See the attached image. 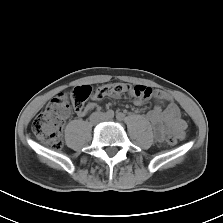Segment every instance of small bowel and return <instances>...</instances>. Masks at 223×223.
Masks as SVG:
<instances>
[{
	"label": "small bowel",
	"instance_id": "obj_1",
	"mask_svg": "<svg viewBox=\"0 0 223 223\" xmlns=\"http://www.w3.org/2000/svg\"><path fill=\"white\" fill-rule=\"evenodd\" d=\"M163 100L159 99L155 107L147 113V120L153 126L155 136L158 139H162L167 131H174L180 138L184 136L186 124L181 118L180 111L178 107L171 101L165 108H162L160 102ZM135 105H142V101L136 99L134 101ZM96 107L94 103H89L85 108L78 112V115L83 117L89 111Z\"/></svg>",
	"mask_w": 223,
	"mask_h": 223
}]
</instances>
